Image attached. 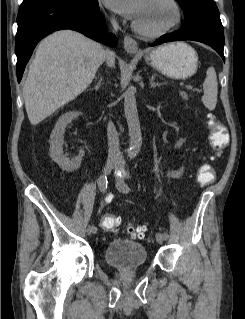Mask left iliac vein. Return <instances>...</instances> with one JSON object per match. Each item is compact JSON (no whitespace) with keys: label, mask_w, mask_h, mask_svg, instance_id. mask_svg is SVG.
I'll list each match as a JSON object with an SVG mask.
<instances>
[{"label":"left iliac vein","mask_w":245,"mask_h":319,"mask_svg":"<svg viewBox=\"0 0 245 319\" xmlns=\"http://www.w3.org/2000/svg\"><path fill=\"white\" fill-rule=\"evenodd\" d=\"M119 168H122V165L119 166ZM125 181V176H120V177H117L116 179V186L119 190H122V184L124 183ZM124 191V190H122ZM156 240L159 244H163L164 241L166 240V238L163 236L162 233H157L156 234Z\"/></svg>","instance_id":"4c4485c4"}]
</instances>
